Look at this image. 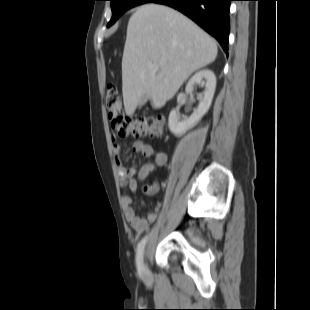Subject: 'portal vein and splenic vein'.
I'll list each match as a JSON object with an SVG mask.
<instances>
[{"mask_svg": "<svg viewBox=\"0 0 310 310\" xmlns=\"http://www.w3.org/2000/svg\"><path fill=\"white\" fill-rule=\"evenodd\" d=\"M151 69L157 71L160 69V65H151Z\"/></svg>", "mask_w": 310, "mask_h": 310, "instance_id": "obj_1", "label": "portal vein and splenic vein"}]
</instances>
